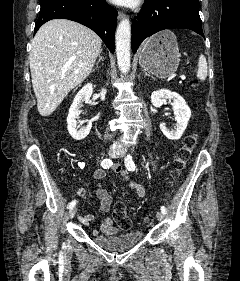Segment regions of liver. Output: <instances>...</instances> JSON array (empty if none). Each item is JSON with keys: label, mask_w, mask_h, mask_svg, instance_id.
<instances>
[{"label": "liver", "mask_w": 240, "mask_h": 281, "mask_svg": "<svg viewBox=\"0 0 240 281\" xmlns=\"http://www.w3.org/2000/svg\"><path fill=\"white\" fill-rule=\"evenodd\" d=\"M102 40L89 28L67 19L45 23L32 40V85L41 116H49L66 95L91 73Z\"/></svg>", "instance_id": "liver-1"}]
</instances>
